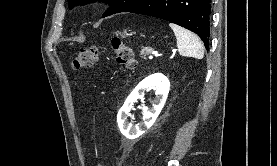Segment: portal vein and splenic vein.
<instances>
[{
	"label": "portal vein and splenic vein",
	"mask_w": 277,
	"mask_h": 166,
	"mask_svg": "<svg viewBox=\"0 0 277 166\" xmlns=\"http://www.w3.org/2000/svg\"><path fill=\"white\" fill-rule=\"evenodd\" d=\"M151 52H152V51H151ZM151 52H150V53H151ZM149 58H153V55H150Z\"/></svg>",
	"instance_id": "portal-vein-and-splenic-vein-1"
}]
</instances>
